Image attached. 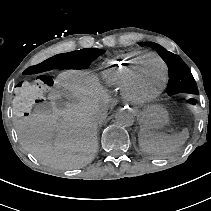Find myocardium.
<instances>
[{
	"label": "myocardium",
	"instance_id": "myocardium-1",
	"mask_svg": "<svg viewBox=\"0 0 211 211\" xmlns=\"http://www.w3.org/2000/svg\"><path fill=\"white\" fill-rule=\"evenodd\" d=\"M148 59H154L160 64L162 68V72H163L162 83L160 87L158 88V90H156L154 93L142 94L139 92L138 87H137V79H138L139 70L132 71L130 74L129 83H128L127 97L130 101H132L133 103L137 105H146L156 100L161 95L165 86L166 78H167L166 65L164 61L156 55L148 54V55L143 56L140 61V67L143 65L144 61Z\"/></svg>",
	"mask_w": 211,
	"mask_h": 211
}]
</instances>
